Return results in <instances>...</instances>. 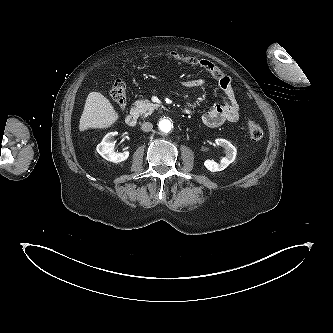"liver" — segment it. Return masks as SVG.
<instances>
[{"label": "liver", "mask_w": 333, "mask_h": 333, "mask_svg": "<svg viewBox=\"0 0 333 333\" xmlns=\"http://www.w3.org/2000/svg\"><path fill=\"white\" fill-rule=\"evenodd\" d=\"M118 119L119 114L102 93L90 92L79 121V131L108 128Z\"/></svg>", "instance_id": "obj_1"}]
</instances>
